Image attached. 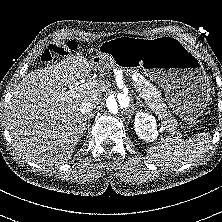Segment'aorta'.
<instances>
[{
  "mask_svg": "<svg viewBox=\"0 0 222 222\" xmlns=\"http://www.w3.org/2000/svg\"><path fill=\"white\" fill-rule=\"evenodd\" d=\"M117 101L114 97L110 96L107 98L106 100V107L109 110L110 113L114 114V115H118V113L120 112V109H126L127 107H129V103H130V98L128 95L126 94H118L117 96Z\"/></svg>",
  "mask_w": 222,
  "mask_h": 222,
  "instance_id": "1",
  "label": "aorta"
}]
</instances>
